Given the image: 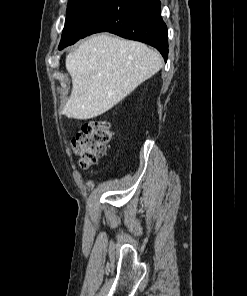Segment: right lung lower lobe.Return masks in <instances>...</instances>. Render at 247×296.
Masks as SVG:
<instances>
[{
    "label": "right lung lower lobe",
    "mask_w": 247,
    "mask_h": 296,
    "mask_svg": "<svg viewBox=\"0 0 247 296\" xmlns=\"http://www.w3.org/2000/svg\"><path fill=\"white\" fill-rule=\"evenodd\" d=\"M159 0H109L88 22L85 36L110 32L155 47L168 57V32Z\"/></svg>",
    "instance_id": "1"
}]
</instances>
